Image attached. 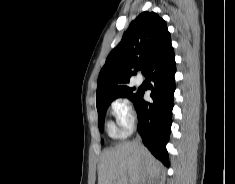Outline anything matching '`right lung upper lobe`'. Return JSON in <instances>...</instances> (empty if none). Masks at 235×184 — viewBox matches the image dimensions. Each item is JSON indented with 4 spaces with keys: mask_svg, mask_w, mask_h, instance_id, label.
<instances>
[{
    "mask_svg": "<svg viewBox=\"0 0 235 184\" xmlns=\"http://www.w3.org/2000/svg\"><path fill=\"white\" fill-rule=\"evenodd\" d=\"M172 53L171 37L165 21L154 12L141 13L131 22L100 71L96 105L110 104L112 90L128 86L130 78L141 64L144 65L142 73L146 75Z\"/></svg>",
    "mask_w": 235,
    "mask_h": 184,
    "instance_id": "right-lung-upper-lobe-1",
    "label": "right lung upper lobe"
}]
</instances>
